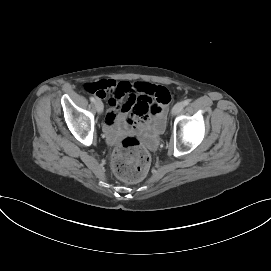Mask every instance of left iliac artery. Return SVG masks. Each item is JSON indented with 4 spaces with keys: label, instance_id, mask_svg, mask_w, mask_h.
I'll list each match as a JSON object with an SVG mask.
<instances>
[{
    "label": "left iliac artery",
    "instance_id": "obj_1",
    "mask_svg": "<svg viewBox=\"0 0 271 271\" xmlns=\"http://www.w3.org/2000/svg\"><path fill=\"white\" fill-rule=\"evenodd\" d=\"M189 103H190V100H188V99L183 101L184 106H187Z\"/></svg>",
    "mask_w": 271,
    "mask_h": 271
}]
</instances>
